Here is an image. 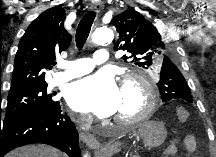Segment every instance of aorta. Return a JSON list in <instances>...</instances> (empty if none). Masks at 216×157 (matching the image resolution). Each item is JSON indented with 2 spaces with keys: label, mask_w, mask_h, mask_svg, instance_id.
<instances>
[{
  "label": "aorta",
  "mask_w": 216,
  "mask_h": 157,
  "mask_svg": "<svg viewBox=\"0 0 216 157\" xmlns=\"http://www.w3.org/2000/svg\"><path fill=\"white\" fill-rule=\"evenodd\" d=\"M114 37L113 30L109 27H100L95 30L92 36L93 43L97 45H102L107 42L112 41ZM113 154V150L105 153V156H111Z\"/></svg>",
  "instance_id": "obj_1"
}]
</instances>
